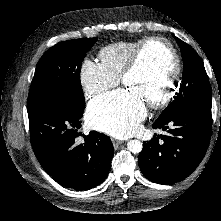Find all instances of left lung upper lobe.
<instances>
[{
  "instance_id": "1",
  "label": "left lung upper lobe",
  "mask_w": 221,
  "mask_h": 221,
  "mask_svg": "<svg viewBox=\"0 0 221 221\" xmlns=\"http://www.w3.org/2000/svg\"><path fill=\"white\" fill-rule=\"evenodd\" d=\"M175 39L181 48L184 62L183 78L179 93L158 117L159 120L177 115L191 107L211 108L212 103L211 86L201 58L187 43L177 37Z\"/></svg>"
}]
</instances>
